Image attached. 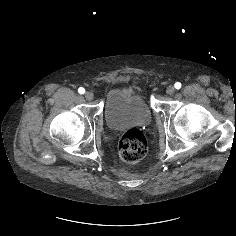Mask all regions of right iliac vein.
Masks as SVG:
<instances>
[{
	"label": "right iliac vein",
	"instance_id": "1",
	"mask_svg": "<svg viewBox=\"0 0 236 236\" xmlns=\"http://www.w3.org/2000/svg\"><path fill=\"white\" fill-rule=\"evenodd\" d=\"M84 96L88 101H91V100L94 99V94L92 92H89V91L86 92Z\"/></svg>",
	"mask_w": 236,
	"mask_h": 236
}]
</instances>
